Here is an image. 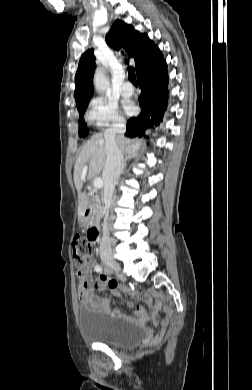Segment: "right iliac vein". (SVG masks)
Masks as SVG:
<instances>
[{"label":"right iliac vein","instance_id":"63e3f726","mask_svg":"<svg viewBox=\"0 0 252 390\" xmlns=\"http://www.w3.org/2000/svg\"><path fill=\"white\" fill-rule=\"evenodd\" d=\"M102 261L110 270L119 271L121 269L120 265L110 256H102Z\"/></svg>","mask_w":252,"mask_h":390}]
</instances>
